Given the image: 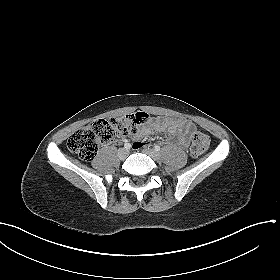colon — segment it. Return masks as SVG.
<instances>
[{
	"mask_svg": "<svg viewBox=\"0 0 280 280\" xmlns=\"http://www.w3.org/2000/svg\"><path fill=\"white\" fill-rule=\"evenodd\" d=\"M148 115L142 112L127 115L121 119H99L75 131L68 140V149L83 161L92 160L98 148L114 139L134 134L144 124ZM209 137L202 132H194L190 140V154L199 157L209 146ZM140 145L134 143V148Z\"/></svg>",
	"mask_w": 280,
	"mask_h": 280,
	"instance_id": "obj_1",
	"label": "colon"
}]
</instances>
